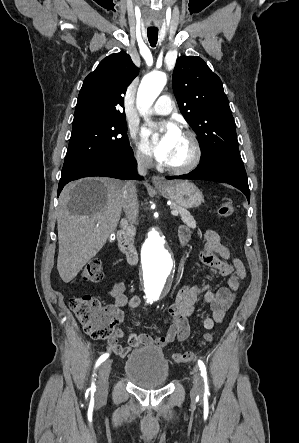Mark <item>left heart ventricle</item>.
Here are the masks:
<instances>
[{
	"label": "left heart ventricle",
	"instance_id": "obj_1",
	"mask_svg": "<svg viewBox=\"0 0 299 443\" xmlns=\"http://www.w3.org/2000/svg\"><path fill=\"white\" fill-rule=\"evenodd\" d=\"M191 155V146L188 139L181 134L179 140L175 144L170 158L166 164L172 166H180L185 164Z\"/></svg>",
	"mask_w": 299,
	"mask_h": 443
}]
</instances>
